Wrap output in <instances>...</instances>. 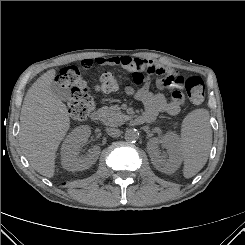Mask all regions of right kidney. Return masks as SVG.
Listing matches in <instances>:
<instances>
[{
	"label": "right kidney",
	"mask_w": 245,
	"mask_h": 245,
	"mask_svg": "<svg viewBox=\"0 0 245 245\" xmlns=\"http://www.w3.org/2000/svg\"><path fill=\"white\" fill-rule=\"evenodd\" d=\"M91 130L83 125L75 128L61 147V164L68 171H82L91 167L100 155V147L94 146L86 155L79 156L80 147L87 142Z\"/></svg>",
	"instance_id": "obj_1"
}]
</instances>
